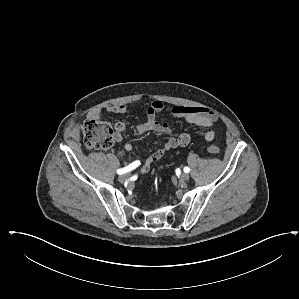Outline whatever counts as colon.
I'll list each match as a JSON object with an SVG mask.
<instances>
[{"instance_id": "obj_1", "label": "colon", "mask_w": 299, "mask_h": 299, "mask_svg": "<svg viewBox=\"0 0 299 299\" xmlns=\"http://www.w3.org/2000/svg\"><path fill=\"white\" fill-rule=\"evenodd\" d=\"M85 146L90 150H107L114 145L113 129L110 123L104 120L90 119L82 127ZM207 151L213 155H219V148L210 144Z\"/></svg>"}]
</instances>
